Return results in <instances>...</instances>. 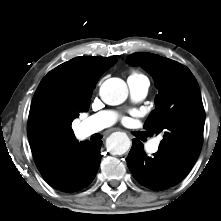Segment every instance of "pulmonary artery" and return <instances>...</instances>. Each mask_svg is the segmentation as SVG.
<instances>
[{"mask_svg": "<svg viewBox=\"0 0 221 221\" xmlns=\"http://www.w3.org/2000/svg\"><path fill=\"white\" fill-rule=\"evenodd\" d=\"M130 96L133 101L139 102L143 100L149 89V80L146 76H130L127 79ZM118 118L115 111L105 110L89 117L85 122V131L88 134L98 132L102 129L113 125ZM159 147V140L154 139L146 144V150L150 153H155Z\"/></svg>", "mask_w": 221, "mask_h": 221, "instance_id": "e3ab8cb5", "label": "pulmonary artery"}]
</instances>
